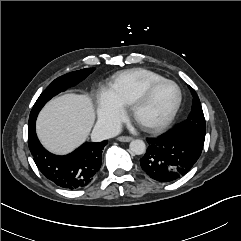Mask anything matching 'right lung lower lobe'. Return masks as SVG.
I'll return each mask as SVG.
<instances>
[{"label":"right lung lower lobe","instance_id":"right-lung-lower-lobe-1","mask_svg":"<svg viewBox=\"0 0 241 241\" xmlns=\"http://www.w3.org/2000/svg\"><path fill=\"white\" fill-rule=\"evenodd\" d=\"M35 121L28 124V146L41 173L57 186L77 189L88 185L101 166L102 150L107 140L100 143H84L65 156L48 152L39 142Z\"/></svg>","mask_w":241,"mask_h":241}]
</instances>
